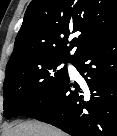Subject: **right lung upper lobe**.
<instances>
[{"instance_id":"obj_1","label":"right lung upper lobe","mask_w":117,"mask_h":136,"mask_svg":"<svg viewBox=\"0 0 117 136\" xmlns=\"http://www.w3.org/2000/svg\"><path fill=\"white\" fill-rule=\"evenodd\" d=\"M116 33L117 0H32L8 63L33 55L75 60Z\"/></svg>"}]
</instances>
